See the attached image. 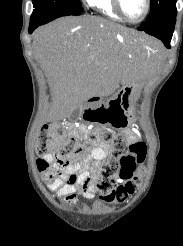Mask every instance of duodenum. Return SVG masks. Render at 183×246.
Here are the masks:
<instances>
[{"label":"duodenum","mask_w":183,"mask_h":246,"mask_svg":"<svg viewBox=\"0 0 183 246\" xmlns=\"http://www.w3.org/2000/svg\"><path fill=\"white\" fill-rule=\"evenodd\" d=\"M91 100H92V101H98V100H99V97H98V96H92V97H91Z\"/></svg>","instance_id":"duodenum-1"}]
</instances>
